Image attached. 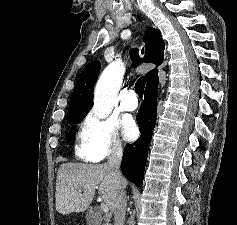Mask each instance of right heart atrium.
<instances>
[{"mask_svg": "<svg viewBox=\"0 0 237 225\" xmlns=\"http://www.w3.org/2000/svg\"><path fill=\"white\" fill-rule=\"evenodd\" d=\"M76 152L90 162L122 155L123 145L116 124L90 112L80 124Z\"/></svg>", "mask_w": 237, "mask_h": 225, "instance_id": "obj_1", "label": "right heart atrium"}]
</instances>
